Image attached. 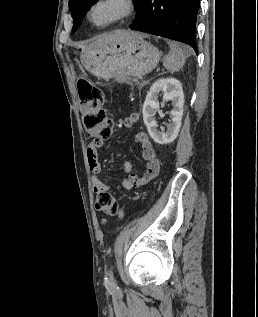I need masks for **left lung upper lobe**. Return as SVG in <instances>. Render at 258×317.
<instances>
[{
  "label": "left lung upper lobe",
  "instance_id": "obj_1",
  "mask_svg": "<svg viewBox=\"0 0 258 317\" xmlns=\"http://www.w3.org/2000/svg\"><path fill=\"white\" fill-rule=\"evenodd\" d=\"M98 0H70L69 9L74 20L73 32L77 30L81 24L83 17L86 12L91 8V6ZM136 5V11H138L143 0H133Z\"/></svg>",
  "mask_w": 258,
  "mask_h": 317
}]
</instances>
